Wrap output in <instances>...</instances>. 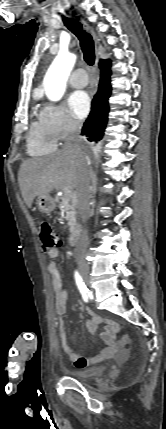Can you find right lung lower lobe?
<instances>
[{"label": "right lung lower lobe", "mask_w": 166, "mask_h": 429, "mask_svg": "<svg viewBox=\"0 0 166 429\" xmlns=\"http://www.w3.org/2000/svg\"><path fill=\"white\" fill-rule=\"evenodd\" d=\"M110 65V60H101L99 63L101 70L99 88L92 100L91 112L81 131V134L92 142H98L102 139L108 120V98L111 94Z\"/></svg>", "instance_id": "obj_1"}]
</instances>
